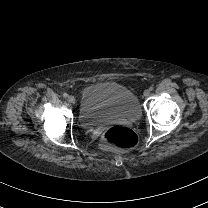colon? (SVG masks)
I'll use <instances>...</instances> for the list:
<instances>
[{
	"instance_id": "colon-1",
	"label": "colon",
	"mask_w": 208,
	"mask_h": 208,
	"mask_svg": "<svg viewBox=\"0 0 208 208\" xmlns=\"http://www.w3.org/2000/svg\"><path fill=\"white\" fill-rule=\"evenodd\" d=\"M134 142L135 136L131 130L115 126L104 133L101 146L105 150L123 149L133 146Z\"/></svg>"
}]
</instances>
